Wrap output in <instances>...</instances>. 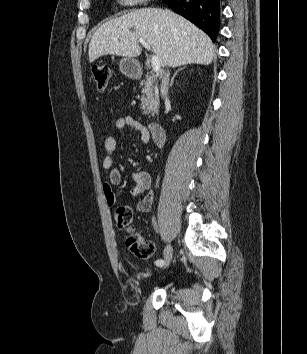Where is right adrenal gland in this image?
Instances as JSON below:
<instances>
[{
  "label": "right adrenal gland",
  "instance_id": "1",
  "mask_svg": "<svg viewBox=\"0 0 307 354\" xmlns=\"http://www.w3.org/2000/svg\"><path fill=\"white\" fill-rule=\"evenodd\" d=\"M182 69H184V67H183V68L178 69V70L174 73L173 77L171 78V83H170V86H172V85H173L175 76H176V75H177V73H178L180 70H182Z\"/></svg>",
  "mask_w": 307,
  "mask_h": 354
}]
</instances>
